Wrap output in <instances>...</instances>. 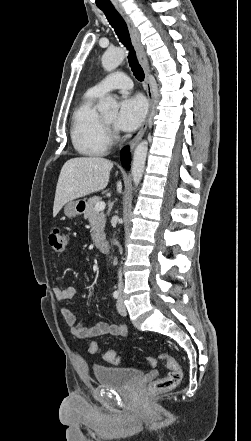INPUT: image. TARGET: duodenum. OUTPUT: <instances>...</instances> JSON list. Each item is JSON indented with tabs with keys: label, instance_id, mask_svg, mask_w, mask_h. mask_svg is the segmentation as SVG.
<instances>
[{
	"label": "duodenum",
	"instance_id": "duodenum-1",
	"mask_svg": "<svg viewBox=\"0 0 251 441\" xmlns=\"http://www.w3.org/2000/svg\"><path fill=\"white\" fill-rule=\"evenodd\" d=\"M97 247L100 252L107 253L109 251V242L107 240H101L97 243Z\"/></svg>",
	"mask_w": 251,
	"mask_h": 441
}]
</instances>
